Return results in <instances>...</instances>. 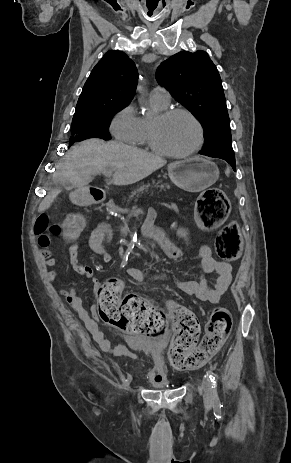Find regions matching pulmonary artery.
<instances>
[{"instance_id": "1", "label": "pulmonary artery", "mask_w": 291, "mask_h": 463, "mask_svg": "<svg viewBox=\"0 0 291 463\" xmlns=\"http://www.w3.org/2000/svg\"><path fill=\"white\" fill-rule=\"evenodd\" d=\"M151 99L161 105L167 106L170 103L171 96L166 88L157 86L151 92Z\"/></svg>"}]
</instances>
